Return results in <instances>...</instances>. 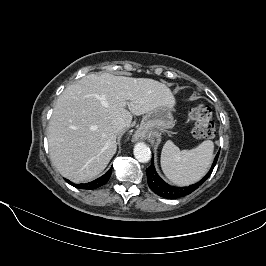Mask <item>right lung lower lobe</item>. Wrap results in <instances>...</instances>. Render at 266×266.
I'll use <instances>...</instances> for the list:
<instances>
[{
  "mask_svg": "<svg viewBox=\"0 0 266 266\" xmlns=\"http://www.w3.org/2000/svg\"><path fill=\"white\" fill-rule=\"evenodd\" d=\"M112 173V168L109 169L103 176H101L100 178L89 182V183H85V184H74L72 182H70L69 180L65 179L66 182H68L69 184H71L72 186L76 187V188H80V189H95L98 188L104 184H106L111 176Z\"/></svg>",
  "mask_w": 266,
  "mask_h": 266,
  "instance_id": "right-lung-lower-lobe-1",
  "label": "right lung lower lobe"
}]
</instances>
